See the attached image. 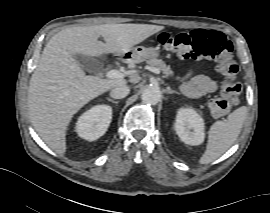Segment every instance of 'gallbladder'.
Listing matches in <instances>:
<instances>
[{
    "label": "gallbladder",
    "mask_w": 270,
    "mask_h": 213,
    "mask_svg": "<svg viewBox=\"0 0 270 213\" xmlns=\"http://www.w3.org/2000/svg\"><path fill=\"white\" fill-rule=\"evenodd\" d=\"M74 58L82 68L91 73L96 74L102 68V63L94 57L85 56L83 54H75Z\"/></svg>",
    "instance_id": "1"
}]
</instances>
